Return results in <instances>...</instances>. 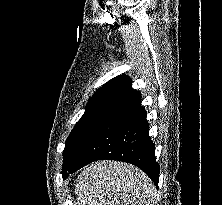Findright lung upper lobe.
<instances>
[{
  "instance_id": "cb5924a9",
  "label": "right lung upper lobe",
  "mask_w": 222,
  "mask_h": 205,
  "mask_svg": "<svg viewBox=\"0 0 222 205\" xmlns=\"http://www.w3.org/2000/svg\"><path fill=\"white\" fill-rule=\"evenodd\" d=\"M136 92L132 89L129 77L125 75L115 77L95 92L86 106L85 113L108 112Z\"/></svg>"
}]
</instances>
